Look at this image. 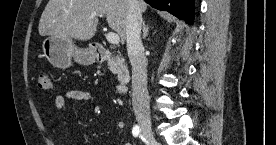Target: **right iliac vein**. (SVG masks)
Returning a JSON list of instances; mask_svg holds the SVG:
<instances>
[{
    "mask_svg": "<svg viewBox=\"0 0 276 145\" xmlns=\"http://www.w3.org/2000/svg\"><path fill=\"white\" fill-rule=\"evenodd\" d=\"M137 121L138 124L141 127V131L145 139L149 142L151 145L156 144V140L153 135L152 131V123L151 118L149 115H137Z\"/></svg>",
    "mask_w": 276,
    "mask_h": 145,
    "instance_id": "63e3f726",
    "label": "right iliac vein"
}]
</instances>
